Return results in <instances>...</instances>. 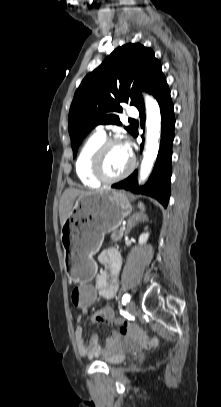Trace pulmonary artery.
<instances>
[{
  "label": "pulmonary artery",
  "mask_w": 221,
  "mask_h": 407,
  "mask_svg": "<svg viewBox=\"0 0 221 407\" xmlns=\"http://www.w3.org/2000/svg\"><path fill=\"white\" fill-rule=\"evenodd\" d=\"M128 115L130 117H137L138 116V110L135 107H130L127 111ZM96 133L105 135L104 127L102 125L98 126L96 128Z\"/></svg>",
  "instance_id": "pulmonary-artery-1"
}]
</instances>
